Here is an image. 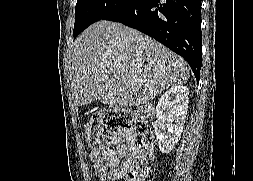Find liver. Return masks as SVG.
<instances>
[{"instance_id": "liver-1", "label": "liver", "mask_w": 253, "mask_h": 181, "mask_svg": "<svg viewBox=\"0 0 253 181\" xmlns=\"http://www.w3.org/2000/svg\"><path fill=\"white\" fill-rule=\"evenodd\" d=\"M188 78L181 57L121 23L92 24L71 51V89L78 106L95 100L121 109L139 106Z\"/></svg>"}]
</instances>
